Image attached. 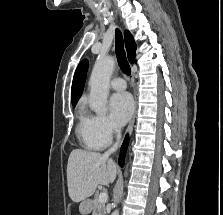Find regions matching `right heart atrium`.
Masks as SVG:
<instances>
[{"label": "right heart atrium", "instance_id": "1", "mask_svg": "<svg viewBox=\"0 0 223 215\" xmlns=\"http://www.w3.org/2000/svg\"><path fill=\"white\" fill-rule=\"evenodd\" d=\"M91 126L96 135L106 143L118 132V127L106 115L91 116Z\"/></svg>", "mask_w": 223, "mask_h": 215}]
</instances>
